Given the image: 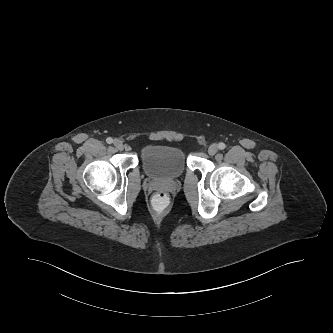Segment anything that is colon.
I'll list each match as a JSON object with an SVG mask.
<instances>
[{
    "label": "colon",
    "mask_w": 333,
    "mask_h": 333,
    "mask_svg": "<svg viewBox=\"0 0 333 333\" xmlns=\"http://www.w3.org/2000/svg\"><path fill=\"white\" fill-rule=\"evenodd\" d=\"M169 195L165 191H157L150 200L152 210L161 214L167 210Z\"/></svg>",
    "instance_id": "colon-1"
}]
</instances>
